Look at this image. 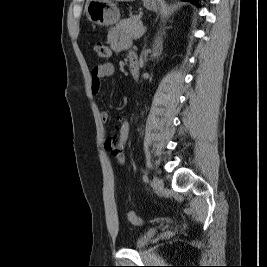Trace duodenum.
<instances>
[{
	"mask_svg": "<svg viewBox=\"0 0 267 267\" xmlns=\"http://www.w3.org/2000/svg\"><path fill=\"white\" fill-rule=\"evenodd\" d=\"M130 74L134 79H137L140 75V64L136 56H132L129 62Z\"/></svg>",
	"mask_w": 267,
	"mask_h": 267,
	"instance_id": "obj_1",
	"label": "duodenum"
}]
</instances>
